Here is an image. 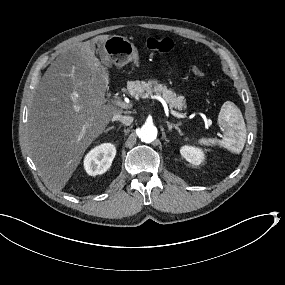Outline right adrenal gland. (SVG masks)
I'll return each instance as SVG.
<instances>
[{"mask_svg":"<svg viewBox=\"0 0 285 285\" xmlns=\"http://www.w3.org/2000/svg\"><path fill=\"white\" fill-rule=\"evenodd\" d=\"M111 129H114V126L108 127L107 129L104 130V132L107 133V132L110 131Z\"/></svg>","mask_w":285,"mask_h":285,"instance_id":"obj_1","label":"right adrenal gland"}]
</instances>
